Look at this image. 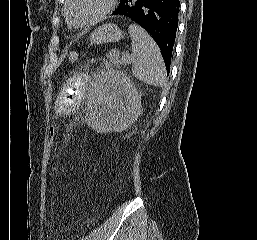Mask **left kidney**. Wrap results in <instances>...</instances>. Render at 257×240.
Listing matches in <instances>:
<instances>
[{"label":"left kidney","instance_id":"1","mask_svg":"<svg viewBox=\"0 0 257 240\" xmlns=\"http://www.w3.org/2000/svg\"><path fill=\"white\" fill-rule=\"evenodd\" d=\"M89 125L100 133L121 132L141 114V95L120 71L98 75L88 99Z\"/></svg>","mask_w":257,"mask_h":240}]
</instances>
